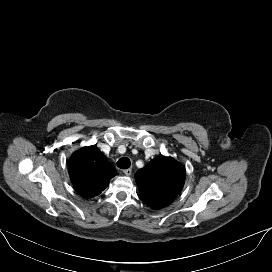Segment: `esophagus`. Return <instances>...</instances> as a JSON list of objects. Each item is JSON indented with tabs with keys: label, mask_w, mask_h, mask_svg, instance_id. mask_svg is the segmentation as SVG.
<instances>
[{
	"label": "esophagus",
	"mask_w": 272,
	"mask_h": 272,
	"mask_svg": "<svg viewBox=\"0 0 272 272\" xmlns=\"http://www.w3.org/2000/svg\"><path fill=\"white\" fill-rule=\"evenodd\" d=\"M123 172H124V174H125L126 176H130L131 173H132V169H130V168L125 169Z\"/></svg>",
	"instance_id": "esophagus-1"
}]
</instances>
